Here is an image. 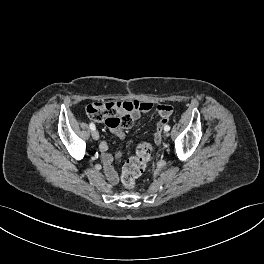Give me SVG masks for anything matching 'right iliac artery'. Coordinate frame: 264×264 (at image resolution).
Wrapping results in <instances>:
<instances>
[{
  "mask_svg": "<svg viewBox=\"0 0 264 264\" xmlns=\"http://www.w3.org/2000/svg\"><path fill=\"white\" fill-rule=\"evenodd\" d=\"M89 127H90L91 130H95V128H96L95 125H94L93 123H90V124H89Z\"/></svg>",
  "mask_w": 264,
  "mask_h": 264,
  "instance_id": "right-iliac-artery-1",
  "label": "right iliac artery"
}]
</instances>
